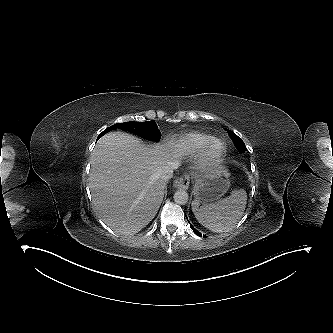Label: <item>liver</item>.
Returning <instances> with one entry per match:
<instances>
[{"instance_id":"6515ba94","label":"liver","mask_w":333,"mask_h":333,"mask_svg":"<svg viewBox=\"0 0 333 333\" xmlns=\"http://www.w3.org/2000/svg\"><path fill=\"white\" fill-rule=\"evenodd\" d=\"M188 147L173 140L146 145L123 132L100 138L91 154L89 187L101 220L116 233H138L152 221L164 197L160 171L179 165Z\"/></svg>"}]
</instances>
